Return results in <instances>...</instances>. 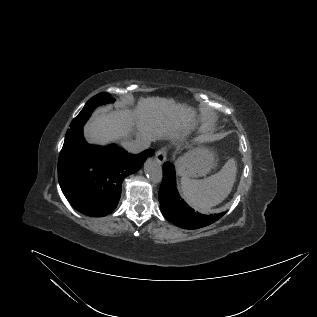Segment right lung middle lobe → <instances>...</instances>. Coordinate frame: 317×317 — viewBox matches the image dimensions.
<instances>
[{
	"label": "right lung middle lobe",
	"instance_id": "dd1d6c3e",
	"mask_svg": "<svg viewBox=\"0 0 317 317\" xmlns=\"http://www.w3.org/2000/svg\"><path fill=\"white\" fill-rule=\"evenodd\" d=\"M114 99H112L109 93H99L96 96L92 97L84 106L82 111L73 119L70 129H68L65 139L70 137L75 131L81 128L85 122L90 117L92 111L99 105L112 103Z\"/></svg>",
	"mask_w": 317,
	"mask_h": 317
}]
</instances>
